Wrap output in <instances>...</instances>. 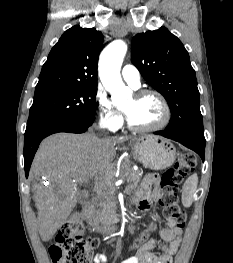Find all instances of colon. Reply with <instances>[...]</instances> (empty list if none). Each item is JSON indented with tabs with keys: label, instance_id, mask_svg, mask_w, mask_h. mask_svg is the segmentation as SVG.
I'll return each instance as SVG.
<instances>
[{
	"label": "colon",
	"instance_id": "obj_1",
	"mask_svg": "<svg viewBox=\"0 0 233 263\" xmlns=\"http://www.w3.org/2000/svg\"><path fill=\"white\" fill-rule=\"evenodd\" d=\"M195 157L191 153H181L174 168L167 170L161 178L163 216L172 219L176 225L183 227L186 214L178 202V188L184 177L193 169ZM153 227H151L152 229ZM148 235H141L134 243V248L144 245ZM99 240L85 236L83 216L74 211L62 225L49 253L53 263H92L93 252Z\"/></svg>",
	"mask_w": 233,
	"mask_h": 263
}]
</instances>
